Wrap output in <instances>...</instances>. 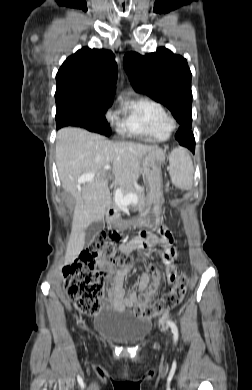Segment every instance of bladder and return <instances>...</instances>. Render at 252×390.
I'll list each match as a JSON object with an SVG mask.
<instances>
[{"instance_id": "1", "label": "bladder", "mask_w": 252, "mask_h": 390, "mask_svg": "<svg viewBox=\"0 0 252 390\" xmlns=\"http://www.w3.org/2000/svg\"><path fill=\"white\" fill-rule=\"evenodd\" d=\"M98 335L120 344H136L149 331V323L126 313H106L98 317L94 325Z\"/></svg>"}]
</instances>
